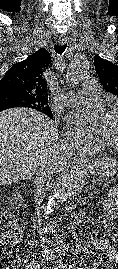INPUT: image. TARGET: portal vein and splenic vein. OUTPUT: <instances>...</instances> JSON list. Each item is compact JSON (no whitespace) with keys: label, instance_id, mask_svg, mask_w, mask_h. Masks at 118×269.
<instances>
[{"label":"portal vein and splenic vein","instance_id":"18ae733b","mask_svg":"<svg viewBox=\"0 0 118 269\" xmlns=\"http://www.w3.org/2000/svg\"><path fill=\"white\" fill-rule=\"evenodd\" d=\"M104 186H109L108 184H104Z\"/></svg>","mask_w":118,"mask_h":269}]
</instances>
